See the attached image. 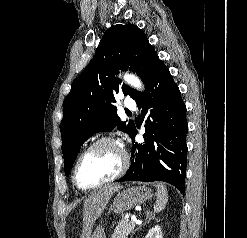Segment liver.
I'll list each match as a JSON object with an SVG mask.
<instances>
[{
  "label": "liver",
  "instance_id": "obj_1",
  "mask_svg": "<svg viewBox=\"0 0 247 238\" xmlns=\"http://www.w3.org/2000/svg\"><path fill=\"white\" fill-rule=\"evenodd\" d=\"M122 187L123 186L117 184L107 185L99 191L90 195L85 200L83 209L84 230L82 238H90L89 236L93 224L103 213L106 204L110 200L111 196Z\"/></svg>",
  "mask_w": 247,
  "mask_h": 238
}]
</instances>
